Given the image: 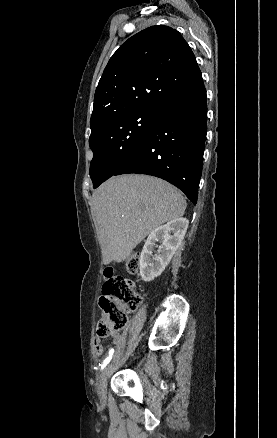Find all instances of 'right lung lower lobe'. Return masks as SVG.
<instances>
[{
  "label": "right lung lower lobe",
  "instance_id": "1",
  "mask_svg": "<svg viewBox=\"0 0 277 438\" xmlns=\"http://www.w3.org/2000/svg\"><path fill=\"white\" fill-rule=\"evenodd\" d=\"M206 133V89L201 78L160 105L142 144L113 175L140 173L162 178L196 204Z\"/></svg>",
  "mask_w": 277,
  "mask_h": 438
}]
</instances>
